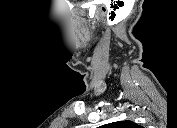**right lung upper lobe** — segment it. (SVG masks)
<instances>
[{
	"instance_id": "obj_1",
	"label": "right lung upper lobe",
	"mask_w": 177,
	"mask_h": 128,
	"mask_svg": "<svg viewBox=\"0 0 177 128\" xmlns=\"http://www.w3.org/2000/svg\"><path fill=\"white\" fill-rule=\"evenodd\" d=\"M109 127H114V128H139L140 126L137 125L136 123L132 121H118V122H113L108 125Z\"/></svg>"
}]
</instances>
